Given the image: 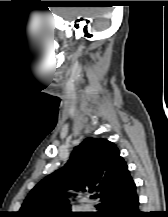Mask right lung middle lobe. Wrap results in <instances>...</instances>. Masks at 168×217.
Wrapping results in <instances>:
<instances>
[{"label":"right lung middle lobe","mask_w":168,"mask_h":217,"mask_svg":"<svg viewBox=\"0 0 168 217\" xmlns=\"http://www.w3.org/2000/svg\"><path fill=\"white\" fill-rule=\"evenodd\" d=\"M53 217H80L79 214L74 215H54Z\"/></svg>","instance_id":"right-lung-middle-lobe-1"}]
</instances>
